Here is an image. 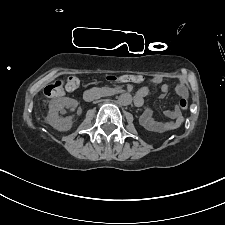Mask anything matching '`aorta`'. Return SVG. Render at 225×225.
Listing matches in <instances>:
<instances>
[{
	"mask_svg": "<svg viewBox=\"0 0 225 225\" xmlns=\"http://www.w3.org/2000/svg\"><path fill=\"white\" fill-rule=\"evenodd\" d=\"M132 102V96L129 93H123L118 97V103L123 106L130 105Z\"/></svg>",
	"mask_w": 225,
	"mask_h": 225,
	"instance_id": "obj_1",
	"label": "aorta"
}]
</instances>
